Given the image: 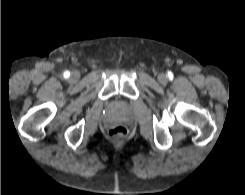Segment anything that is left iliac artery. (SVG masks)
Segmentation results:
<instances>
[{
  "mask_svg": "<svg viewBox=\"0 0 245 195\" xmlns=\"http://www.w3.org/2000/svg\"><path fill=\"white\" fill-rule=\"evenodd\" d=\"M169 77H172V73H169Z\"/></svg>",
  "mask_w": 245,
  "mask_h": 195,
  "instance_id": "left-iliac-artery-1",
  "label": "left iliac artery"
}]
</instances>
